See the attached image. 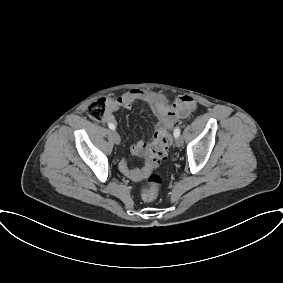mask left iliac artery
<instances>
[{"mask_svg":"<svg viewBox=\"0 0 283 283\" xmlns=\"http://www.w3.org/2000/svg\"><path fill=\"white\" fill-rule=\"evenodd\" d=\"M174 137L175 138H177V137H179V135H180V128L178 127V128H176L175 130H174Z\"/></svg>","mask_w":283,"mask_h":283,"instance_id":"1","label":"left iliac artery"}]
</instances>
